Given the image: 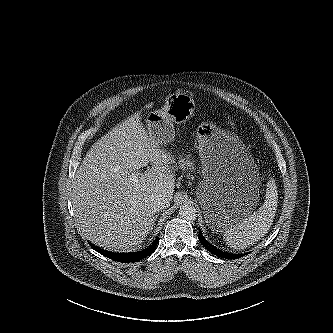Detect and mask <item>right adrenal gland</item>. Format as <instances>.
<instances>
[{"instance_id":"obj_1","label":"right adrenal gland","mask_w":333,"mask_h":333,"mask_svg":"<svg viewBox=\"0 0 333 333\" xmlns=\"http://www.w3.org/2000/svg\"><path fill=\"white\" fill-rule=\"evenodd\" d=\"M157 217H158V215H157V214H156V215L153 217V225H154V223H155V221H156Z\"/></svg>"}]
</instances>
